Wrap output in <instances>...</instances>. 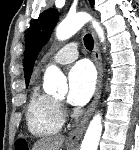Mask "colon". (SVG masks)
Here are the masks:
<instances>
[{"mask_svg":"<svg viewBox=\"0 0 139 150\" xmlns=\"http://www.w3.org/2000/svg\"><path fill=\"white\" fill-rule=\"evenodd\" d=\"M16 150H28L27 143L25 141H18L15 146Z\"/></svg>","mask_w":139,"mask_h":150,"instance_id":"5ec220e1","label":"colon"}]
</instances>
